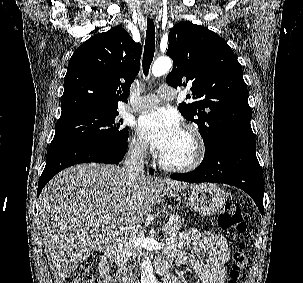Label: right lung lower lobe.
I'll return each instance as SVG.
<instances>
[{"instance_id": "98d812e1", "label": "right lung lower lobe", "mask_w": 303, "mask_h": 283, "mask_svg": "<svg viewBox=\"0 0 303 283\" xmlns=\"http://www.w3.org/2000/svg\"><path fill=\"white\" fill-rule=\"evenodd\" d=\"M126 151L127 143L122 147L81 142L50 145L46 156V166L39 178L37 195L39 196L52 177L69 166L86 162L117 164L123 159ZM150 174H153L152 169H150Z\"/></svg>"}]
</instances>
